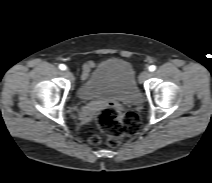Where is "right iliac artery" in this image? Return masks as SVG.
Segmentation results:
<instances>
[{
    "label": "right iliac artery",
    "instance_id": "82829eb1",
    "mask_svg": "<svg viewBox=\"0 0 212 183\" xmlns=\"http://www.w3.org/2000/svg\"><path fill=\"white\" fill-rule=\"evenodd\" d=\"M59 68H60L61 70H66V69H67V67H66L64 64H60V65H59Z\"/></svg>",
    "mask_w": 212,
    "mask_h": 183
}]
</instances>
